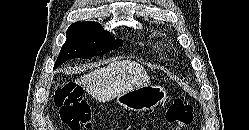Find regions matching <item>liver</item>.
Here are the masks:
<instances>
[{"instance_id": "1", "label": "liver", "mask_w": 249, "mask_h": 130, "mask_svg": "<svg viewBox=\"0 0 249 130\" xmlns=\"http://www.w3.org/2000/svg\"><path fill=\"white\" fill-rule=\"evenodd\" d=\"M147 71L137 62L115 61L85 75L82 86L99 102H109L130 90L149 85Z\"/></svg>"}]
</instances>
